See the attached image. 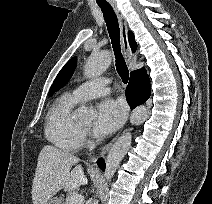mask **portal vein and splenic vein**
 Listing matches in <instances>:
<instances>
[{
    "mask_svg": "<svg viewBox=\"0 0 212 204\" xmlns=\"http://www.w3.org/2000/svg\"><path fill=\"white\" fill-rule=\"evenodd\" d=\"M83 201V196L79 194H74L70 198V204H83Z\"/></svg>",
    "mask_w": 212,
    "mask_h": 204,
    "instance_id": "18ae733b",
    "label": "portal vein and splenic vein"
}]
</instances>
